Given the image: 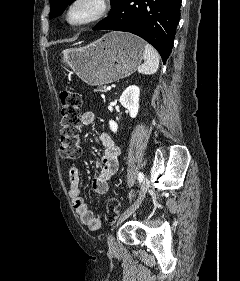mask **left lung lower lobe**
Instances as JSON below:
<instances>
[{
    "label": "left lung lower lobe",
    "instance_id": "1",
    "mask_svg": "<svg viewBox=\"0 0 240 281\" xmlns=\"http://www.w3.org/2000/svg\"><path fill=\"white\" fill-rule=\"evenodd\" d=\"M182 0H116L109 16L92 30L131 32L154 46L165 63L180 19Z\"/></svg>",
    "mask_w": 240,
    "mask_h": 281
}]
</instances>
